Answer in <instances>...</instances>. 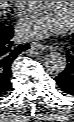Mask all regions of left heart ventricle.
<instances>
[{
	"instance_id": "obj_1",
	"label": "left heart ventricle",
	"mask_w": 74,
	"mask_h": 122,
	"mask_svg": "<svg viewBox=\"0 0 74 122\" xmlns=\"http://www.w3.org/2000/svg\"><path fill=\"white\" fill-rule=\"evenodd\" d=\"M50 5L54 11L64 20L70 21L72 16V1H43Z\"/></svg>"
}]
</instances>
